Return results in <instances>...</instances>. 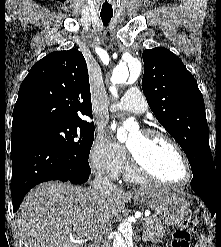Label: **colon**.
<instances>
[{
    "label": "colon",
    "mask_w": 221,
    "mask_h": 247,
    "mask_svg": "<svg viewBox=\"0 0 221 247\" xmlns=\"http://www.w3.org/2000/svg\"><path fill=\"white\" fill-rule=\"evenodd\" d=\"M197 224L198 219L195 215L186 218L182 225L175 230L171 240V247H189L191 233Z\"/></svg>",
    "instance_id": "1"
}]
</instances>
